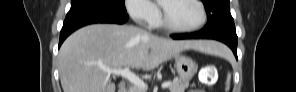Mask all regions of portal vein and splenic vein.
<instances>
[{"label": "portal vein and splenic vein", "mask_w": 296, "mask_h": 92, "mask_svg": "<svg viewBox=\"0 0 296 92\" xmlns=\"http://www.w3.org/2000/svg\"><path fill=\"white\" fill-rule=\"evenodd\" d=\"M105 72H108L110 74H115V75H121L122 77L128 79L131 83H133L135 86L138 88H141L143 90L147 89L146 84L139 78L137 77L134 73L130 71L129 68H124V69H103ZM171 82H165L162 84V88H167L169 87Z\"/></svg>", "instance_id": "1"}]
</instances>
